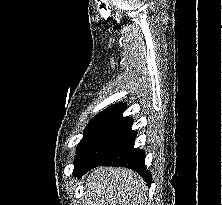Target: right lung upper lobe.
I'll return each mask as SVG.
<instances>
[{"mask_svg": "<svg viewBox=\"0 0 222 205\" xmlns=\"http://www.w3.org/2000/svg\"><path fill=\"white\" fill-rule=\"evenodd\" d=\"M119 105H121V104L119 103V104L112 105L109 108H107L106 110H104L103 112L109 113L112 110H114L116 107H118Z\"/></svg>", "mask_w": 222, "mask_h": 205, "instance_id": "cb5924a9", "label": "right lung upper lobe"}]
</instances>
